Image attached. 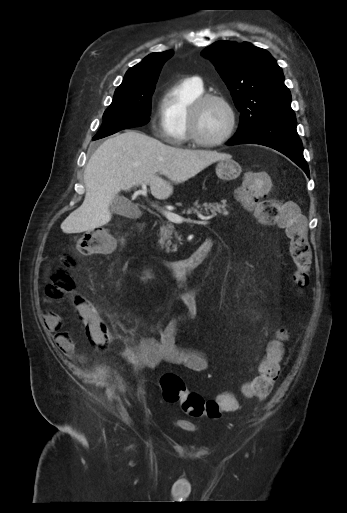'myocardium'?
<instances>
[{
    "label": "myocardium",
    "mask_w": 347,
    "mask_h": 513,
    "mask_svg": "<svg viewBox=\"0 0 347 513\" xmlns=\"http://www.w3.org/2000/svg\"><path fill=\"white\" fill-rule=\"evenodd\" d=\"M218 102L223 105L229 115V124L226 132L216 140H206L199 135L198 118L201 109L209 102ZM237 125L236 111L231 102L224 96L215 93H203L197 97L189 107L187 115L188 137L191 142L202 147L213 148L227 142L235 132Z\"/></svg>",
    "instance_id": "1"
}]
</instances>
